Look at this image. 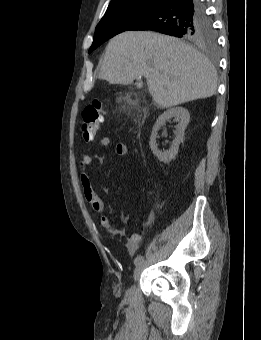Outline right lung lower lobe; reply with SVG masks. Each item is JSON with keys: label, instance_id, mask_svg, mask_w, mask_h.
<instances>
[{"label": "right lung lower lobe", "instance_id": "98d812e1", "mask_svg": "<svg viewBox=\"0 0 261 340\" xmlns=\"http://www.w3.org/2000/svg\"><path fill=\"white\" fill-rule=\"evenodd\" d=\"M204 15L200 0H161L154 10L128 30H152L183 37L185 29Z\"/></svg>", "mask_w": 261, "mask_h": 340}]
</instances>
